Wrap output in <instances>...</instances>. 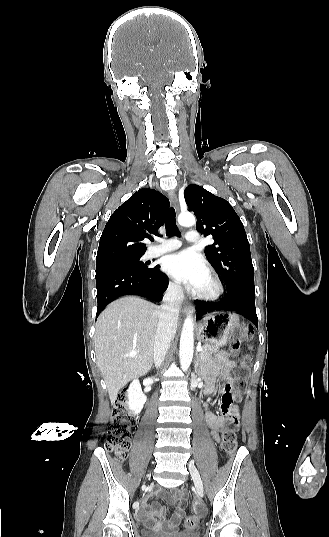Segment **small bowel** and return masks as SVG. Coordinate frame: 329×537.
<instances>
[{
  "mask_svg": "<svg viewBox=\"0 0 329 537\" xmlns=\"http://www.w3.org/2000/svg\"><path fill=\"white\" fill-rule=\"evenodd\" d=\"M235 367V363L230 360L226 354H219L214 363L210 366L208 384L204 391L205 395L209 396L215 393V382L217 381L223 382L220 386L223 393L229 391L235 381L233 376ZM222 410L230 415L228 420L238 419L239 413L237 405L225 406L223 404ZM205 417L213 438L219 442L218 431L226 421L225 418L211 412L208 409V405H206ZM159 495L169 504L174 506V513L171 518L167 520L166 509L160 506L157 502H154L153 504L145 502L141 520L148 528L155 531L175 532L178 530L185 516L186 492L182 488H176L171 493L160 491Z\"/></svg>",
  "mask_w": 329,
  "mask_h": 537,
  "instance_id": "small-bowel-1",
  "label": "small bowel"
}]
</instances>
